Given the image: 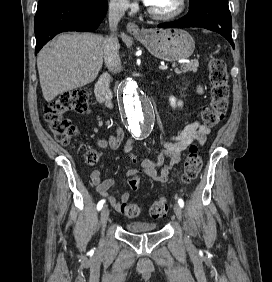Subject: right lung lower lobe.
I'll list each match as a JSON object with an SVG mask.
<instances>
[{
    "mask_svg": "<svg viewBox=\"0 0 272 282\" xmlns=\"http://www.w3.org/2000/svg\"><path fill=\"white\" fill-rule=\"evenodd\" d=\"M107 8V0H40L34 19L36 53L58 33L95 30Z\"/></svg>",
    "mask_w": 272,
    "mask_h": 282,
    "instance_id": "1",
    "label": "right lung lower lobe"
}]
</instances>
